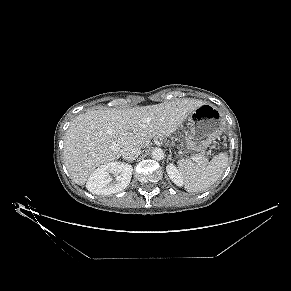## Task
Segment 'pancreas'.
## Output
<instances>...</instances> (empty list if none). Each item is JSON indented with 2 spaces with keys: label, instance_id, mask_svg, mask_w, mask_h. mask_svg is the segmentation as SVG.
I'll use <instances>...</instances> for the list:
<instances>
[{
  "label": "pancreas",
  "instance_id": "1",
  "mask_svg": "<svg viewBox=\"0 0 291 291\" xmlns=\"http://www.w3.org/2000/svg\"><path fill=\"white\" fill-rule=\"evenodd\" d=\"M201 159H202V163H206L207 162L205 157L201 156Z\"/></svg>",
  "mask_w": 291,
  "mask_h": 291
}]
</instances>
